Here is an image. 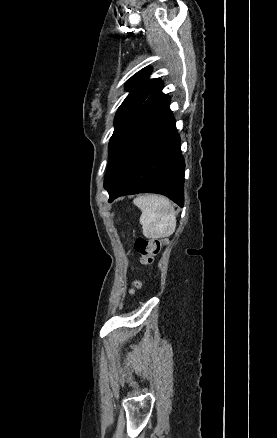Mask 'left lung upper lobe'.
Returning <instances> with one entry per match:
<instances>
[{"instance_id":"left-lung-upper-lobe-1","label":"left lung upper lobe","mask_w":277,"mask_h":438,"mask_svg":"<svg viewBox=\"0 0 277 438\" xmlns=\"http://www.w3.org/2000/svg\"><path fill=\"white\" fill-rule=\"evenodd\" d=\"M150 71V68L146 67L126 83V89L131 92L120 105L115 116V130L109 142V163L104 181L106 190L115 182L123 166L130 147L134 124L144 102L150 95L170 100L161 92L163 87L161 80L148 79Z\"/></svg>"}]
</instances>
